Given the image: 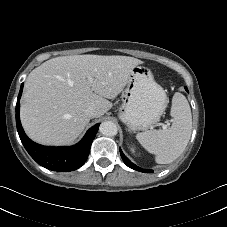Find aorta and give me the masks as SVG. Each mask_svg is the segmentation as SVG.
Listing matches in <instances>:
<instances>
[{
    "instance_id": "1",
    "label": "aorta",
    "mask_w": 227,
    "mask_h": 227,
    "mask_svg": "<svg viewBox=\"0 0 227 227\" xmlns=\"http://www.w3.org/2000/svg\"><path fill=\"white\" fill-rule=\"evenodd\" d=\"M99 131L101 134H103L104 136H115L117 134V126L114 122L112 121H104L101 123Z\"/></svg>"
}]
</instances>
